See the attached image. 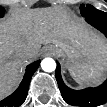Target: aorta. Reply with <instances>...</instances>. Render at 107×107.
Masks as SVG:
<instances>
[{"label": "aorta", "instance_id": "obj_1", "mask_svg": "<svg viewBox=\"0 0 107 107\" xmlns=\"http://www.w3.org/2000/svg\"><path fill=\"white\" fill-rule=\"evenodd\" d=\"M41 67L45 72H53L56 69V62L52 58H45L41 62Z\"/></svg>", "mask_w": 107, "mask_h": 107}]
</instances>
